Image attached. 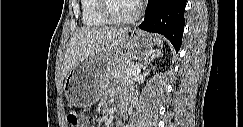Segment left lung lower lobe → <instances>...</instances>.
I'll list each match as a JSON object with an SVG mask.
<instances>
[{
	"label": "left lung lower lobe",
	"mask_w": 243,
	"mask_h": 127,
	"mask_svg": "<svg viewBox=\"0 0 243 127\" xmlns=\"http://www.w3.org/2000/svg\"><path fill=\"white\" fill-rule=\"evenodd\" d=\"M186 0H149L144 21L138 26L164 35L176 51L182 43Z\"/></svg>",
	"instance_id": "left-lung-lower-lobe-1"
}]
</instances>
